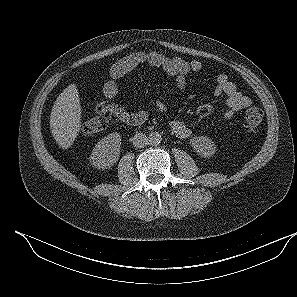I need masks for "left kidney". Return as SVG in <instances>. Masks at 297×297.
Segmentation results:
<instances>
[{
    "mask_svg": "<svg viewBox=\"0 0 297 297\" xmlns=\"http://www.w3.org/2000/svg\"><path fill=\"white\" fill-rule=\"evenodd\" d=\"M190 143L193 149L204 158L212 157L217 150L215 143L206 136L193 137Z\"/></svg>",
    "mask_w": 297,
    "mask_h": 297,
    "instance_id": "obj_1",
    "label": "left kidney"
}]
</instances>
